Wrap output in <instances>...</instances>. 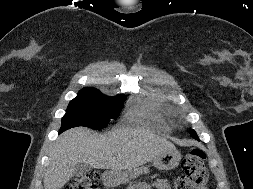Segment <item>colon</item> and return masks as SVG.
<instances>
[{"label": "colon", "instance_id": "obj_1", "mask_svg": "<svg viewBox=\"0 0 253 189\" xmlns=\"http://www.w3.org/2000/svg\"><path fill=\"white\" fill-rule=\"evenodd\" d=\"M206 154L201 149H192L182 161L183 174L176 180L175 189H199L208 180L205 167ZM99 174L95 171L73 178L65 189H98Z\"/></svg>", "mask_w": 253, "mask_h": 189}]
</instances>
